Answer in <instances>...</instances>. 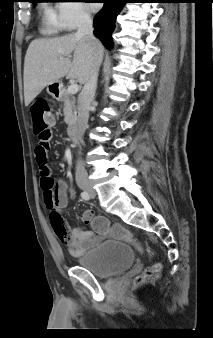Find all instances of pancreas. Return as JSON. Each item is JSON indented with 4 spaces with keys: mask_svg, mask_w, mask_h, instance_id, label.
<instances>
[{
    "mask_svg": "<svg viewBox=\"0 0 213 338\" xmlns=\"http://www.w3.org/2000/svg\"><path fill=\"white\" fill-rule=\"evenodd\" d=\"M61 101L63 102L64 108V121L68 125V132L70 133L71 129L76 124V114H75V101L70 93L67 90L62 92Z\"/></svg>",
    "mask_w": 213,
    "mask_h": 338,
    "instance_id": "obj_1",
    "label": "pancreas"
}]
</instances>
